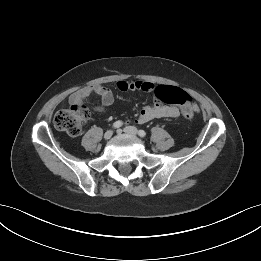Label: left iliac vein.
Segmentation results:
<instances>
[{
	"instance_id": "obj_1",
	"label": "left iliac vein",
	"mask_w": 261,
	"mask_h": 261,
	"mask_svg": "<svg viewBox=\"0 0 261 261\" xmlns=\"http://www.w3.org/2000/svg\"><path fill=\"white\" fill-rule=\"evenodd\" d=\"M126 134L136 136L138 134L137 129L134 126H127L123 129Z\"/></svg>"
}]
</instances>
